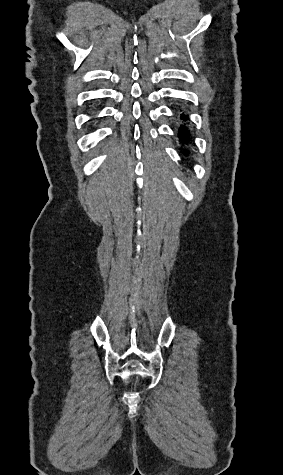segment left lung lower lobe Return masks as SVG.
Masks as SVG:
<instances>
[{
	"mask_svg": "<svg viewBox=\"0 0 283 475\" xmlns=\"http://www.w3.org/2000/svg\"><path fill=\"white\" fill-rule=\"evenodd\" d=\"M181 118L185 121L189 120L188 116L187 115H182ZM189 124V123H188ZM178 135H179V138L180 140L185 143V144H191V139H190V129L187 127V126H181L179 128V132H178ZM190 152L189 149L185 150L184 151V154L185 155H188Z\"/></svg>",
	"mask_w": 283,
	"mask_h": 475,
	"instance_id": "obj_1",
	"label": "left lung lower lobe"
}]
</instances>
